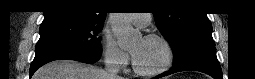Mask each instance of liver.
<instances>
[{"label":"liver","instance_id":"6515ba94","mask_svg":"<svg viewBox=\"0 0 255 79\" xmlns=\"http://www.w3.org/2000/svg\"><path fill=\"white\" fill-rule=\"evenodd\" d=\"M33 79H109L105 70L74 60H56L39 68ZM114 79H122L116 76Z\"/></svg>","mask_w":255,"mask_h":79}]
</instances>
